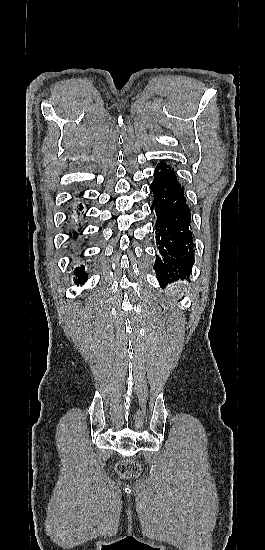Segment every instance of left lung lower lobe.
Instances as JSON below:
<instances>
[{
	"mask_svg": "<svg viewBox=\"0 0 265 550\" xmlns=\"http://www.w3.org/2000/svg\"><path fill=\"white\" fill-rule=\"evenodd\" d=\"M150 189L154 193L151 209L157 215L156 243L162 255V258L156 257L154 269L160 284L165 285L192 271L194 244L190 231V210L183 188L166 163L157 165Z\"/></svg>",
	"mask_w": 265,
	"mask_h": 550,
	"instance_id": "obj_1",
	"label": "left lung lower lobe"
}]
</instances>
